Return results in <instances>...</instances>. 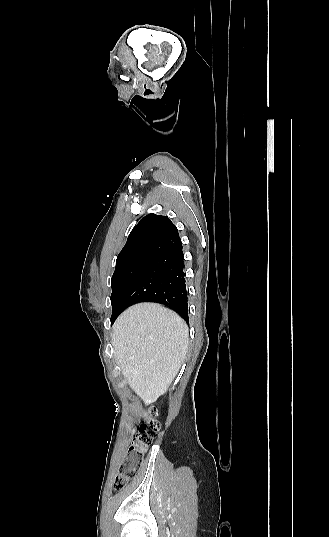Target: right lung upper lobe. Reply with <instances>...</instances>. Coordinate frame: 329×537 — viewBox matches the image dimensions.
I'll list each match as a JSON object with an SVG mask.
<instances>
[{"mask_svg": "<svg viewBox=\"0 0 329 537\" xmlns=\"http://www.w3.org/2000/svg\"><path fill=\"white\" fill-rule=\"evenodd\" d=\"M181 242L167 216L148 214L133 228L116 260V269L134 261H153Z\"/></svg>", "mask_w": 329, "mask_h": 537, "instance_id": "right-lung-upper-lobe-1", "label": "right lung upper lobe"}]
</instances>
